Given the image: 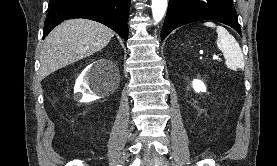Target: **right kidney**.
<instances>
[{
    "label": "right kidney",
    "mask_w": 277,
    "mask_h": 166,
    "mask_svg": "<svg viewBox=\"0 0 277 166\" xmlns=\"http://www.w3.org/2000/svg\"><path fill=\"white\" fill-rule=\"evenodd\" d=\"M106 60H99L98 63H106ZM93 64L89 65L78 77L75 87L74 93H76V99L80 100V102H92L99 97L93 93L90 87H100V83L94 79V70ZM115 85V83H113Z\"/></svg>",
    "instance_id": "right-kidney-1"
}]
</instances>
